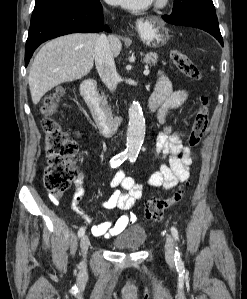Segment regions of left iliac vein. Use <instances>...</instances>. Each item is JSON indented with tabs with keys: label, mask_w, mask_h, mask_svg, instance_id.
<instances>
[{
	"label": "left iliac vein",
	"mask_w": 247,
	"mask_h": 299,
	"mask_svg": "<svg viewBox=\"0 0 247 299\" xmlns=\"http://www.w3.org/2000/svg\"><path fill=\"white\" fill-rule=\"evenodd\" d=\"M165 258L168 263L173 264V262H174V241H173V237L171 235L166 236Z\"/></svg>",
	"instance_id": "obj_1"
}]
</instances>
